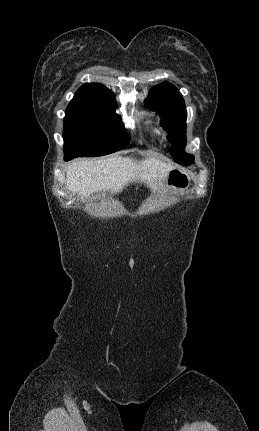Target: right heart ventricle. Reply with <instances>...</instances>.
<instances>
[{
	"label": "right heart ventricle",
	"instance_id": "right-heart-ventricle-1",
	"mask_svg": "<svg viewBox=\"0 0 259 431\" xmlns=\"http://www.w3.org/2000/svg\"><path fill=\"white\" fill-rule=\"evenodd\" d=\"M144 127L151 135H157L159 133L157 123L152 119L145 120Z\"/></svg>",
	"mask_w": 259,
	"mask_h": 431
}]
</instances>
